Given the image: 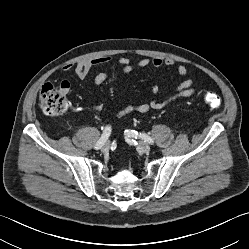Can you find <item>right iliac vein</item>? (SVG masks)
Masks as SVG:
<instances>
[{"instance_id":"1","label":"right iliac vein","mask_w":249,"mask_h":249,"mask_svg":"<svg viewBox=\"0 0 249 249\" xmlns=\"http://www.w3.org/2000/svg\"><path fill=\"white\" fill-rule=\"evenodd\" d=\"M109 148H110V143L106 142L105 144H103L101 150H102V152H107V151H109Z\"/></svg>"}]
</instances>
